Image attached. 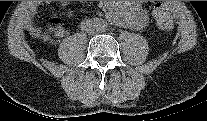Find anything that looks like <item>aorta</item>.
I'll use <instances>...</instances> for the list:
<instances>
[{"label":"aorta","mask_w":207,"mask_h":121,"mask_svg":"<svg viewBox=\"0 0 207 121\" xmlns=\"http://www.w3.org/2000/svg\"><path fill=\"white\" fill-rule=\"evenodd\" d=\"M132 1H112L109 7L110 20L117 26L130 27L132 24L131 4ZM130 3V4H129ZM103 24H99L100 31L103 30Z\"/></svg>","instance_id":"aorta-1"}]
</instances>
